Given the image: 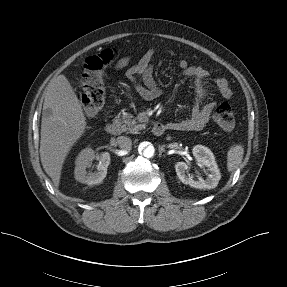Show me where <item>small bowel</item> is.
Instances as JSON below:
<instances>
[{
    "label": "small bowel",
    "mask_w": 287,
    "mask_h": 287,
    "mask_svg": "<svg viewBox=\"0 0 287 287\" xmlns=\"http://www.w3.org/2000/svg\"><path fill=\"white\" fill-rule=\"evenodd\" d=\"M156 49L149 48L134 65L129 66L132 57L125 56L118 60L116 69L127 68L126 76L133 84L136 92L145 100L156 99L161 94V89L154 78V56ZM178 67L183 76L193 78L196 86V100L191 115L188 118L170 122L166 127L176 131H193L203 129L211 118L215 106L209 100V93L205 86V80L210 73L198 65H191L185 59L178 60ZM216 87L224 99L232 97L229 82L224 77L215 80Z\"/></svg>",
    "instance_id": "obj_1"
}]
</instances>
